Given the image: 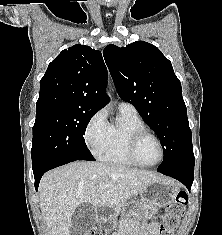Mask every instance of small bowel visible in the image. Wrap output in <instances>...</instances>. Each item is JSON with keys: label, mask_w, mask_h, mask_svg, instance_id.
<instances>
[{"label": "small bowel", "mask_w": 222, "mask_h": 235, "mask_svg": "<svg viewBox=\"0 0 222 235\" xmlns=\"http://www.w3.org/2000/svg\"><path fill=\"white\" fill-rule=\"evenodd\" d=\"M148 231H149V234L150 235H158L157 234V225L156 224H151L150 226H149V228H148ZM115 235H124V233L123 232H118V233H116Z\"/></svg>", "instance_id": "c3829d8e"}]
</instances>
